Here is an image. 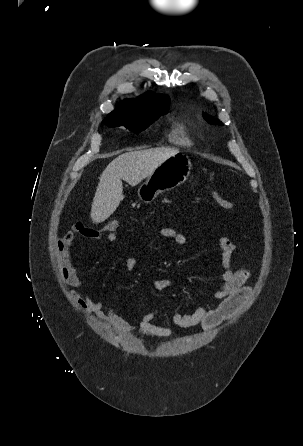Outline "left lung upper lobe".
<instances>
[{"label":"left lung upper lobe","instance_id":"5c2ea615","mask_svg":"<svg viewBox=\"0 0 303 446\" xmlns=\"http://www.w3.org/2000/svg\"><path fill=\"white\" fill-rule=\"evenodd\" d=\"M204 118L207 120V122H209L210 124H213V125H223L222 124V122H220L219 120H213V119H210V118H208L205 114H204Z\"/></svg>","mask_w":303,"mask_h":446}]
</instances>
